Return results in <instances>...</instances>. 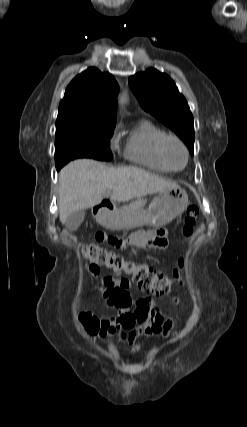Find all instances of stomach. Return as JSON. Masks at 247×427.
<instances>
[{"label": "stomach", "mask_w": 247, "mask_h": 427, "mask_svg": "<svg viewBox=\"0 0 247 427\" xmlns=\"http://www.w3.org/2000/svg\"><path fill=\"white\" fill-rule=\"evenodd\" d=\"M188 203L186 191L178 186L159 192L147 210L124 214L116 208L102 209L96 213L95 218L100 225L111 230L132 229L144 225L161 227L182 214Z\"/></svg>", "instance_id": "obj_1"}]
</instances>
